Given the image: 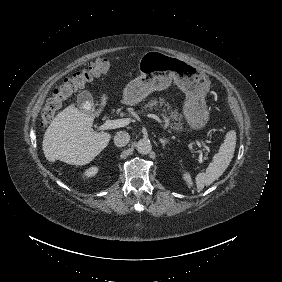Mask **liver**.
<instances>
[{"label": "liver", "instance_id": "obj_1", "mask_svg": "<svg viewBox=\"0 0 282 282\" xmlns=\"http://www.w3.org/2000/svg\"><path fill=\"white\" fill-rule=\"evenodd\" d=\"M92 125L93 120L74 106L60 112L44 135L42 147L46 158L77 165L88 163L109 141L107 133L93 131Z\"/></svg>", "mask_w": 282, "mask_h": 282}]
</instances>
